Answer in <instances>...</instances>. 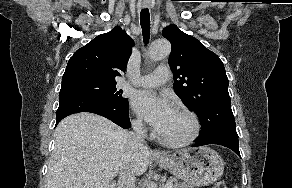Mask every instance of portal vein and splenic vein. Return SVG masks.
<instances>
[{
	"label": "portal vein and splenic vein",
	"mask_w": 292,
	"mask_h": 188,
	"mask_svg": "<svg viewBox=\"0 0 292 188\" xmlns=\"http://www.w3.org/2000/svg\"><path fill=\"white\" fill-rule=\"evenodd\" d=\"M164 188H173V183L171 181H167Z\"/></svg>",
	"instance_id": "18ae733b"
}]
</instances>
